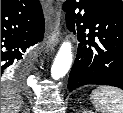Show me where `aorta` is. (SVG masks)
Listing matches in <instances>:
<instances>
[{"mask_svg":"<svg viewBox=\"0 0 123 113\" xmlns=\"http://www.w3.org/2000/svg\"><path fill=\"white\" fill-rule=\"evenodd\" d=\"M71 43L65 41L62 43L51 67V77L58 80L64 77L69 71L72 64Z\"/></svg>","mask_w":123,"mask_h":113,"instance_id":"aorta-1","label":"aorta"}]
</instances>
